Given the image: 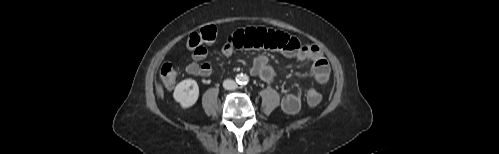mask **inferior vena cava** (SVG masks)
<instances>
[{
  "label": "inferior vena cava",
  "mask_w": 499,
  "mask_h": 154,
  "mask_svg": "<svg viewBox=\"0 0 499 154\" xmlns=\"http://www.w3.org/2000/svg\"><path fill=\"white\" fill-rule=\"evenodd\" d=\"M223 87L227 90H232L237 88V83L234 80L226 79L223 82Z\"/></svg>",
  "instance_id": "602c4592"
}]
</instances>
